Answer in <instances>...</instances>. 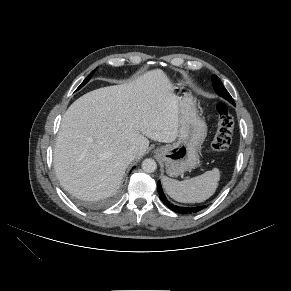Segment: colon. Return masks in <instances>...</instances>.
<instances>
[{
    "instance_id": "colon-1",
    "label": "colon",
    "mask_w": 291,
    "mask_h": 291,
    "mask_svg": "<svg viewBox=\"0 0 291 291\" xmlns=\"http://www.w3.org/2000/svg\"><path fill=\"white\" fill-rule=\"evenodd\" d=\"M217 113L218 125L211 143V148L214 152L219 153L226 151L231 144L234 120L227 105L224 103L217 105Z\"/></svg>"
}]
</instances>
